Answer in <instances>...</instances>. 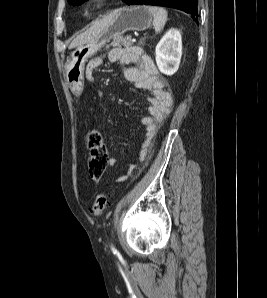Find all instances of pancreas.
Here are the masks:
<instances>
[{"instance_id": "obj_1", "label": "pancreas", "mask_w": 267, "mask_h": 298, "mask_svg": "<svg viewBox=\"0 0 267 298\" xmlns=\"http://www.w3.org/2000/svg\"><path fill=\"white\" fill-rule=\"evenodd\" d=\"M111 45L112 46H121L122 45L124 47H129L132 45V40H131L130 36H126V37L117 36L113 39Z\"/></svg>"}]
</instances>
